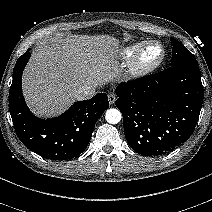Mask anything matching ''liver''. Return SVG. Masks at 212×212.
Wrapping results in <instances>:
<instances>
[{"mask_svg":"<svg viewBox=\"0 0 212 212\" xmlns=\"http://www.w3.org/2000/svg\"><path fill=\"white\" fill-rule=\"evenodd\" d=\"M117 42L110 36L70 35L40 43L25 69L23 94L39 116H55L84 85H103L113 76Z\"/></svg>","mask_w":212,"mask_h":212,"instance_id":"1","label":"liver"}]
</instances>
